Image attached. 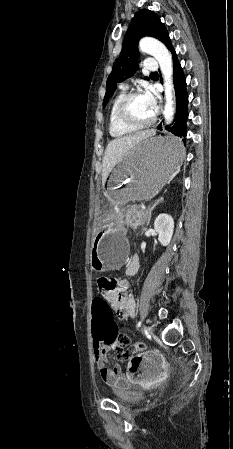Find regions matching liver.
Returning <instances> with one entry per match:
<instances>
[{"mask_svg":"<svg viewBox=\"0 0 233 449\" xmlns=\"http://www.w3.org/2000/svg\"><path fill=\"white\" fill-rule=\"evenodd\" d=\"M155 130H145L138 133H128L127 136L119 137L108 143L104 158L102 171V184L105 182L112 169L120 163L129 151L142 140L153 136Z\"/></svg>","mask_w":233,"mask_h":449,"instance_id":"obj_1","label":"liver"}]
</instances>
